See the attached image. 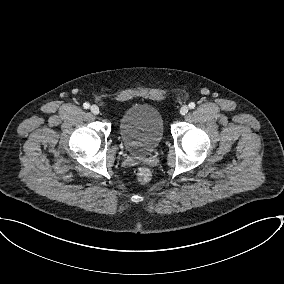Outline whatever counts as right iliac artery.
I'll return each instance as SVG.
<instances>
[{"label":"right iliac artery","instance_id":"1","mask_svg":"<svg viewBox=\"0 0 284 284\" xmlns=\"http://www.w3.org/2000/svg\"><path fill=\"white\" fill-rule=\"evenodd\" d=\"M83 107H84L85 109H89L90 104L86 102V103L83 104Z\"/></svg>","mask_w":284,"mask_h":284}]
</instances>
